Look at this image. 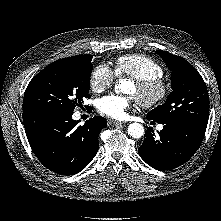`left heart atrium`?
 Here are the masks:
<instances>
[{
    "label": "left heart atrium",
    "mask_w": 221,
    "mask_h": 221,
    "mask_svg": "<svg viewBox=\"0 0 221 221\" xmlns=\"http://www.w3.org/2000/svg\"><path fill=\"white\" fill-rule=\"evenodd\" d=\"M131 105V98L118 95H108L99 99L97 107L100 113L114 119H123Z\"/></svg>",
    "instance_id": "obj_1"
}]
</instances>
